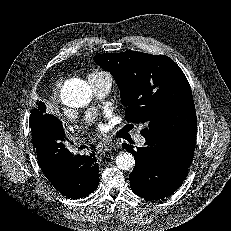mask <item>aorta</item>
Listing matches in <instances>:
<instances>
[{
  "label": "aorta",
  "mask_w": 231,
  "mask_h": 231,
  "mask_svg": "<svg viewBox=\"0 0 231 231\" xmlns=\"http://www.w3.org/2000/svg\"><path fill=\"white\" fill-rule=\"evenodd\" d=\"M61 99L69 107H84L92 100L91 87L82 79L72 78L62 86ZM116 165L122 171H129L133 169L135 159L132 154L123 152L116 157Z\"/></svg>",
  "instance_id": "aorta-1"
}]
</instances>
